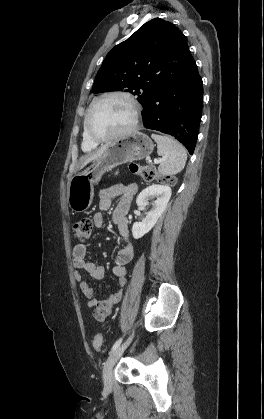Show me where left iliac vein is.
<instances>
[{
	"label": "left iliac vein",
	"mask_w": 264,
	"mask_h": 419,
	"mask_svg": "<svg viewBox=\"0 0 264 419\" xmlns=\"http://www.w3.org/2000/svg\"><path fill=\"white\" fill-rule=\"evenodd\" d=\"M133 335H131L121 346L115 349L109 355L108 359L105 362L103 368V381L106 389H110L112 386V369L115 363L119 360L121 355L123 354L124 350L132 341Z\"/></svg>",
	"instance_id": "left-iliac-vein-1"
}]
</instances>
